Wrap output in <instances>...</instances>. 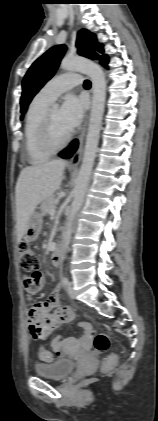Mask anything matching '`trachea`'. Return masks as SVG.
Segmentation results:
<instances>
[{
  "label": "trachea",
  "instance_id": "trachea-1",
  "mask_svg": "<svg viewBox=\"0 0 158 421\" xmlns=\"http://www.w3.org/2000/svg\"><path fill=\"white\" fill-rule=\"evenodd\" d=\"M90 86H91V82L89 80H85L84 87H90Z\"/></svg>",
  "mask_w": 158,
  "mask_h": 421
}]
</instances>
